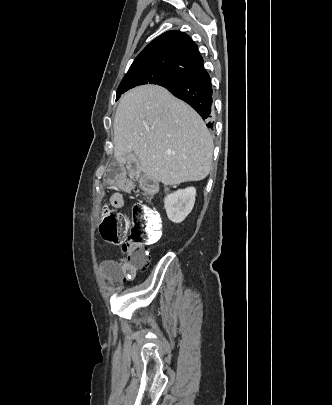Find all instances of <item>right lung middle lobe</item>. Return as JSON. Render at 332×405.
Listing matches in <instances>:
<instances>
[{
    "mask_svg": "<svg viewBox=\"0 0 332 405\" xmlns=\"http://www.w3.org/2000/svg\"><path fill=\"white\" fill-rule=\"evenodd\" d=\"M182 79L183 77L180 75L165 73L157 70H142L130 72L125 75L118 87L116 101L119 99L121 94L135 86L143 84H158L160 86L166 87L177 83Z\"/></svg>",
    "mask_w": 332,
    "mask_h": 405,
    "instance_id": "dd1d6c3e",
    "label": "right lung middle lobe"
}]
</instances>
